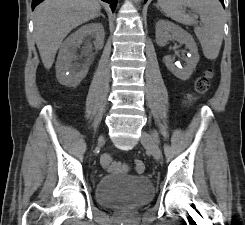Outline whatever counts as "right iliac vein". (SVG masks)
I'll return each mask as SVG.
<instances>
[{
    "label": "right iliac vein",
    "instance_id": "1",
    "mask_svg": "<svg viewBox=\"0 0 245 225\" xmlns=\"http://www.w3.org/2000/svg\"><path fill=\"white\" fill-rule=\"evenodd\" d=\"M103 139H104V138H103V137H101V138L99 139V142H102V141H103Z\"/></svg>",
    "mask_w": 245,
    "mask_h": 225
}]
</instances>
